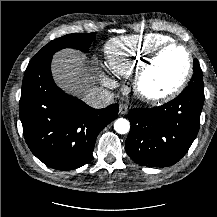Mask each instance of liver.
<instances>
[{"label": "liver", "instance_id": "liver-1", "mask_svg": "<svg viewBox=\"0 0 217 217\" xmlns=\"http://www.w3.org/2000/svg\"><path fill=\"white\" fill-rule=\"evenodd\" d=\"M52 73L58 86L69 93L85 96L91 89L92 77L78 51L65 49L57 52L52 61Z\"/></svg>", "mask_w": 217, "mask_h": 217}]
</instances>
